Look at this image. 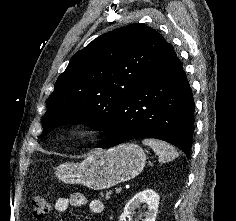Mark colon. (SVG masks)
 Masks as SVG:
<instances>
[{
  "mask_svg": "<svg viewBox=\"0 0 236 221\" xmlns=\"http://www.w3.org/2000/svg\"><path fill=\"white\" fill-rule=\"evenodd\" d=\"M33 215L36 218L43 217L48 210V202L44 195L36 194L32 198Z\"/></svg>",
  "mask_w": 236,
  "mask_h": 221,
  "instance_id": "5ec220e1",
  "label": "colon"
}]
</instances>
